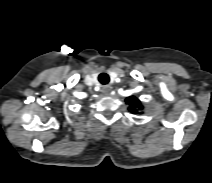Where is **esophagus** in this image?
Wrapping results in <instances>:
<instances>
[{
  "label": "esophagus",
  "instance_id": "esophagus-1",
  "mask_svg": "<svg viewBox=\"0 0 212 183\" xmlns=\"http://www.w3.org/2000/svg\"><path fill=\"white\" fill-rule=\"evenodd\" d=\"M102 91L105 95H109L111 91V87L109 85L103 86Z\"/></svg>",
  "mask_w": 212,
  "mask_h": 183
}]
</instances>
